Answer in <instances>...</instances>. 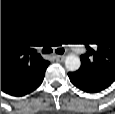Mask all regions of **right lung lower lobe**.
<instances>
[{
	"instance_id": "1",
	"label": "right lung lower lobe",
	"mask_w": 115,
	"mask_h": 114,
	"mask_svg": "<svg viewBox=\"0 0 115 114\" xmlns=\"http://www.w3.org/2000/svg\"><path fill=\"white\" fill-rule=\"evenodd\" d=\"M44 76H45V71L41 75H39L37 79L34 81V83H32V85H30L29 87L25 89H20L17 91L9 92L8 94L12 96H24L26 94H29L40 86V84L42 83L44 79Z\"/></svg>"
}]
</instances>
